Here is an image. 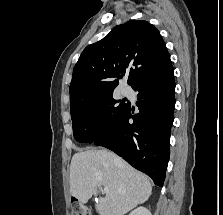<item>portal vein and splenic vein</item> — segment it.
I'll return each instance as SVG.
<instances>
[{"label":"portal vein and splenic vein","instance_id":"obj_1","mask_svg":"<svg viewBox=\"0 0 223 215\" xmlns=\"http://www.w3.org/2000/svg\"><path fill=\"white\" fill-rule=\"evenodd\" d=\"M103 191H104V193H109L108 187H104Z\"/></svg>","mask_w":223,"mask_h":215}]
</instances>
